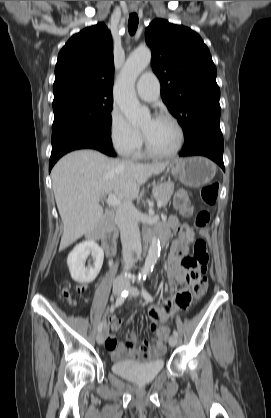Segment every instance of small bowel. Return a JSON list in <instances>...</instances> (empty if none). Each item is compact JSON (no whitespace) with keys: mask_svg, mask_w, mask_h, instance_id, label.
<instances>
[{"mask_svg":"<svg viewBox=\"0 0 271 418\" xmlns=\"http://www.w3.org/2000/svg\"><path fill=\"white\" fill-rule=\"evenodd\" d=\"M168 225L173 230L179 232L180 224L176 217H170ZM185 255L186 251L182 245V237H180L172 248L167 267L168 276L171 282L170 299L161 307H152L149 310V317L152 321V325L155 326L153 331L158 338L151 344L143 342L141 345H137V335L134 332L127 333L126 340L128 344L118 342L114 334H106L104 337V345L110 358L119 359L121 357H129L142 360L164 353L165 346L163 345L162 339L166 337L167 329L162 326V324L167 321L176 310L188 308L191 302L189 287L191 285L194 286L195 284V277L193 274L187 272L182 266V259ZM85 288V285H80L78 290L84 291ZM184 298L189 299V303L183 304L182 300ZM110 322L114 332L118 331L123 324V320L116 317H112Z\"/></svg>","mask_w":271,"mask_h":418,"instance_id":"c3829d8e","label":"small bowel"}]
</instances>
